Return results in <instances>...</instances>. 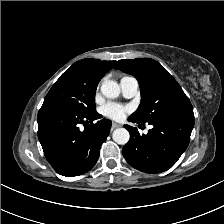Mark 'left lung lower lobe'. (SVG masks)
Masks as SVG:
<instances>
[{
	"instance_id": "0a47b994",
	"label": "left lung lower lobe",
	"mask_w": 224,
	"mask_h": 224,
	"mask_svg": "<svg viewBox=\"0 0 224 224\" xmlns=\"http://www.w3.org/2000/svg\"><path fill=\"white\" fill-rule=\"evenodd\" d=\"M129 121L140 123L129 117ZM195 118L190 115L151 122L148 134L140 135L136 128L125 125L130 140L123 148L127 162L146 173H160L171 168L186 150Z\"/></svg>"
}]
</instances>
